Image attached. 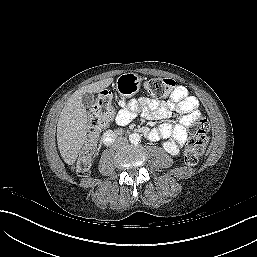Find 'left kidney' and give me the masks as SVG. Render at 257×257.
I'll return each instance as SVG.
<instances>
[{"label":"left kidney","mask_w":257,"mask_h":257,"mask_svg":"<svg viewBox=\"0 0 257 257\" xmlns=\"http://www.w3.org/2000/svg\"><path fill=\"white\" fill-rule=\"evenodd\" d=\"M163 148L166 152H168L169 154H171L173 156L179 155L180 150L174 142H170V141L164 142Z\"/></svg>","instance_id":"left-kidney-1"}]
</instances>
